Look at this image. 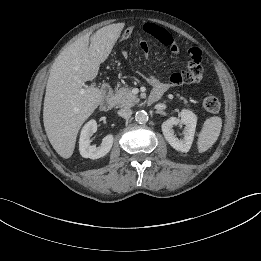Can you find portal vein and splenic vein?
<instances>
[{"label":"portal vein and splenic vein","instance_id":"18ae733b","mask_svg":"<svg viewBox=\"0 0 261 261\" xmlns=\"http://www.w3.org/2000/svg\"><path fill=\"white\" fill-rule=\"evenodd\" d=\"M81 93H83L84 92V89H81V91H80Z\"/></svg>","mask_w":261,"mask_h":261}]
</instances>
